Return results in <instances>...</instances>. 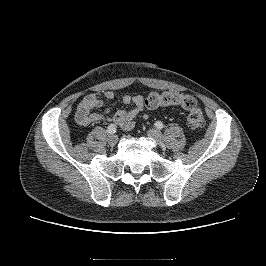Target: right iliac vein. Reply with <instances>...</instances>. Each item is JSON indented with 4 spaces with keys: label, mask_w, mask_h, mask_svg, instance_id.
Here are the masks:
<instances>
[{
    "label": "right iliac vein",
    "mask_w": 266,
    "mask_h": 266,
    "mask_svg": "<svg viewBox=\"0 0 266 266\" xmlns=\"http://www.w3.org/2000/svg\"><path fill=\"white\" fill-rule=\"evenodd\" d=\"M107 141H108V144L110 146H115L118 142V137H117V135L112 134V135L108 136Z\"/></svg>",
    "instance_id": "63e3f726"
}]
</instances>
